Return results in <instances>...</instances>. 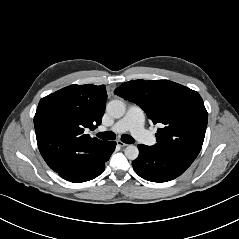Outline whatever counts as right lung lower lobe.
I'll list each match as a JSON object with an SVG mask.
<instances>
[{
  "mask_svg": "<svg viewBox=\"0 0 239 239\" xmlns=\"http://www.w3.org/2000/svg\"><path fill=\"white\" fill-rule=\"evenodd\" d=\"M116 142L106 141L93 150V153H71L64 157L55 172L63 179L80 183L99 176L105 163L114 152Z\"/></svg>",
  "mask_w": 239,
  "mask_h": 239,
  "instance_id": "obj_1",
  "label": "right lung lower lobe"
}]
</instances>
